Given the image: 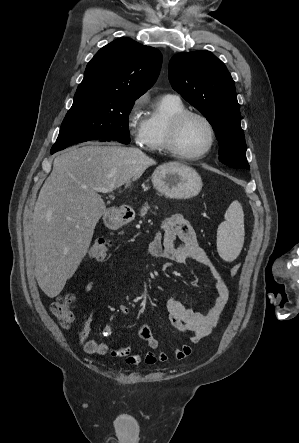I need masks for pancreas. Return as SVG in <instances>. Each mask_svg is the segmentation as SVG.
I'll return each instance as SVG.
<instances>
[{
  "instance_id": "cf45deb5",
  "label": "pancreas",
  "mask_w": 299,
  "mask_h": 443,
  "mask_svg": "<svg viewBox=\"0 0 299 443\" xmlns=\"http://www.w3.org/2000/svg\"><path fill=\"white\" fill-rule=\"evenodd\" d=\"M150 209L147 203L144 204V206L140 210V216L143 217L147 214V211Z\"/></svg>"
}]
</instances>
